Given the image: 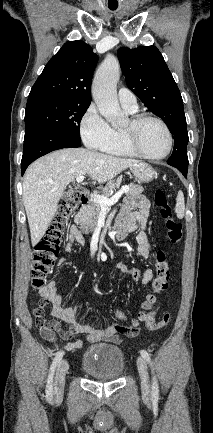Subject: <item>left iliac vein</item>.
<instances>
[{
	"label": "left iliac vein",
	"mask_w": 213,
	"mask_h": 433,
	"mask_svg": "<svg viewBox=\"0 0 213 433\" xmlns=\"http://www.w3.org/2000/svg\"><path fill=\"white\" fill-rule=\"evenodd\" d=\"M137 368L141 379V389L144 397L150 396V383L148 377V370L145 359L142 357L137 358Z\"/></svg>",
	"instance_id": "4c4485c4"
}]
</instances>
